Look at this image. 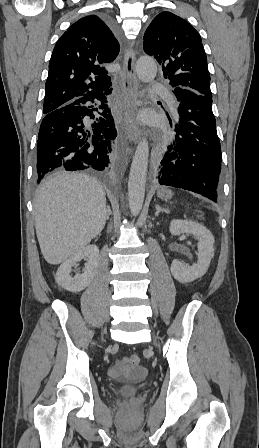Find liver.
Masks as SVG:
<instances>
[{"mask_svg":"<svg viewBox=\"0 0 259 448\" xmlns=\"http://www.w3.org/2000/svg\"><path fill=\"white\" fill-rule=\"evenodd\" d=\"M101 182L62 172L43 180L34 202L35 230L48 264H61L102 232L108 212Z\"/></svg>","mask_w":259,"mask_h":448,"instance_id":"obj_1","label":"liver"}]
</instances>
